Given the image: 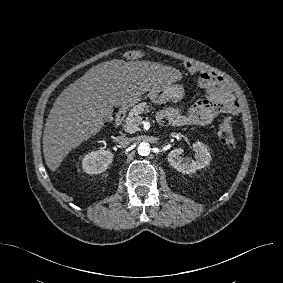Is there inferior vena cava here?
Listing matches in <instances>:
<instances>
[{"label": "inferior vena cava", "instance_id": "obj_1", "mask_svg": "<svg viewBox=\"0 0 283 283\" xmlns=\"http://www.w3.org/2000/svg\"><path fill=\"white\" fill-rule=\"evenodd\" d=\"M116 141L123 148L127 147L131 143V139L126 136H118Z\"/></svg>", "mask_w": 283, "mask_h": 283}]
</instances>
